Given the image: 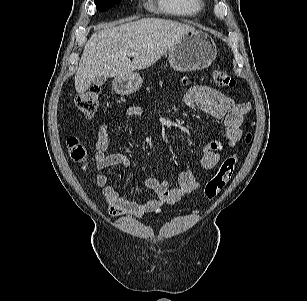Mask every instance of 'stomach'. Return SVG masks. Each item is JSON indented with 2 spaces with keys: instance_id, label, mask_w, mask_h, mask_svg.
<instances>
[{
  "instance_id": "obj_1",
  "label": "stomach",
  "mask_w": 307,
  "mask_h": 301,
  "mask_svg": "<svg viewBox=\"0 0 307 301\" xmlns=\"http://www.w3.org/2000/svg\"><path fill=\"white\" fill-rule=\"evenodd\" d=\"M217 49L214 41L203 31L191 30L183 34L169 49V64L180 72L201 70L209 67L215 60ZM143 80L139 73L133 72L113 80V90L120 95L136 92Z\"/></svg>"
}]
</instances>
